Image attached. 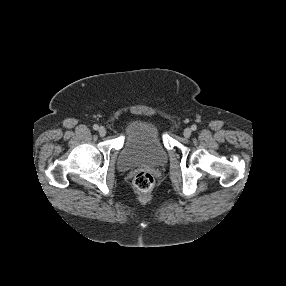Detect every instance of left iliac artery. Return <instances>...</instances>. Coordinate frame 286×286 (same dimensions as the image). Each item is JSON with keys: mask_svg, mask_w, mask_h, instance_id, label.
Listing matches in <instances>:
<instances>
[{"mask_svg": "<svg viewBox=\"0 0 286 286\" xmlns=\"http://www.w3.org/2000/svg\"><path fill=\"white\" fill-rule=\"evenodd\" d=\"M191 129H192L193 131H195V130L197 129V126H196V125H192Z\"/></svg>", "mask_w": 286, "mask_h": 286, "instance_id": "1", "label": "left iliac artery"}]
</instances>
